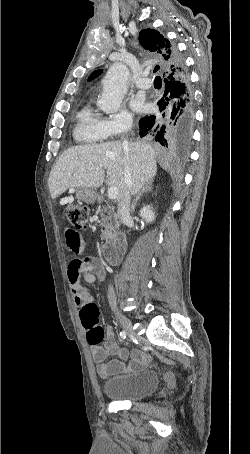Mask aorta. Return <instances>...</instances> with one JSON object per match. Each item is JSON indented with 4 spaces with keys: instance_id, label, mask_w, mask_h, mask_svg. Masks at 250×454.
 <instances>
[{
    "instance_id": "aorta-1",
    "label": "aorta",
    "mask_w": 250,
    "mask_h": 454,
    "mask_svg": "<svg viewBox=\"0 0 250 454\" xmlns=\"http://www.w3.org/2000/svg\"><path fill=\"white\" fill-rule=\"evenodd\" d=\"M129 70L123 63H114L108 69L103 80V91L97 102L98 107L106 113H115L127 93Z\"/></svg>"
}]
</instances>
